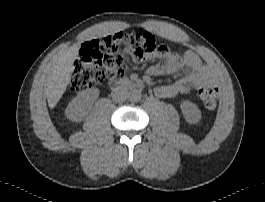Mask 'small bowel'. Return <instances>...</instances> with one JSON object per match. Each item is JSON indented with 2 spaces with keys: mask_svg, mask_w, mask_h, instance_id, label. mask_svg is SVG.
I'll return each instance as SVG.
<instances>
[{
  "mask_svg": "<svg viewBox=\"0 0 265 202\" xmlns=\"http://www.w3.org/2000/svg\"><path fill=\"white\" fill-rule=\"evenodd\" d=\"M100 38H91L85 41L79 53L82 57L89 56L98 51ZM161 63L151 66L147 74L159 76L164 74H175L181 69H188V73L172 84L160 86L155 93L164 99L175 98L179 95L190 94L196 89L209 86L214 83L211 70L204 65L193 51H185L181 56L169 51L158 56Z\"/></svg>",
  "mask_w": 265,
  "mask_h": 202,
  "instance_id": "obj_1",
  "label": "small bowel"
}]
</instances>
